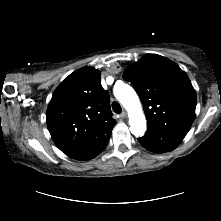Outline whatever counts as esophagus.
Masks as SVG:
<instances>
[{
    "label": "esophagus",
    "instance_id": "esophagus-1",
    "mask_svg": "<svg viewBox=\"0 0 221 221\" xmlns=\"http://www.w3.org/2000/svg\"><path fill=\"white\" fill-rule=\"evenodd\" d=\"M120 116H121L123 119H125V118L127 117V114H126V112L124 111V112L121 113Z\"/></svg>",
    "mask_w": 221,
    "mask_h": 221
}]
</instances>
